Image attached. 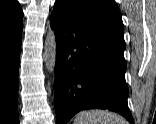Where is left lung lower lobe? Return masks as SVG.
Listing matches in <instances>:
<instances>
[{"label": "left lung lower lobe", "instance_id": "obj_1", "mask_svg": "<svg viewBox=\"0 0 156 124\" xmlns=\"http://www.w3.org/2000/svg\"><path fill=\"white\" fill-rule=\"evenodd\" d=\"M56 35L55 109L57 124H66L85 109H107L134 123L127 104L125 43L71 19L54 6Z\"/></svg>", "mask_w": 156, "mask_h": 124}]
</instances>
